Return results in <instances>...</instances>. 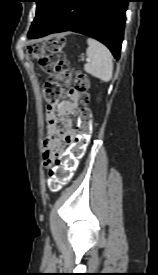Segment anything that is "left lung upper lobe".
I'll return each instance as SVG.
<instances>
[{
  "label": "left lung upper lobe",
  "mask_w": 158,
  "mask_h": 275,
  "mask_svg": "<svg viewBox=\"0 0 158 275\" xmlns=\"http://www.w3.org/2000/svg\"><path fill=\"white\" fill-rule=\"evenodd\" d=\"M61 0H36V17L30 27L28 35L35 34L48 21L51 13Z\"/></svg>",
  "instance_id": "obj_1"
}]
</instances>
